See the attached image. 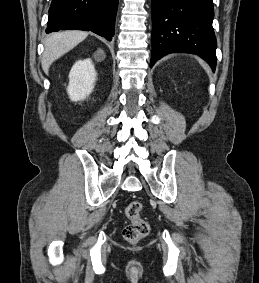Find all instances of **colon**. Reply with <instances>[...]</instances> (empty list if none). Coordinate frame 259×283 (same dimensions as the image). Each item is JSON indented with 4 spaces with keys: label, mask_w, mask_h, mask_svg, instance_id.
<instances>
[{
    "label": "colon",
    "mask_w": 259,
    "mask_h": 283,
    "mask_svg": "<svg viewBox=\"0 0 259 283\" xmlns=\"http://www.w3.org/2000/svg\"><path fill=\"white\" fill-rule=\"evenodd\" d=\"M142 210L140 201L130 202L125 209L129 223L123 229V236L129 243H137L149 232V224L142 218Z\"/></svg>",
    "instance_id": "obj_1"
}]
</instances>
